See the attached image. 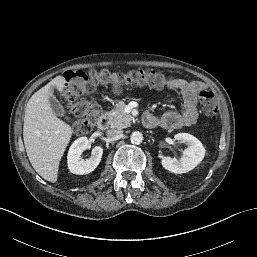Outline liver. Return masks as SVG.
<instances>
[{"label":"liver","instance_id":"1","mask_svg":"<svg viewBox=\"0 0 257 257\" xmlns=\"http://www.w3.org/2000/svg\"><path fill=\"white\" fill-rule=\"evenodd\" d=\"M65 83L63 76L55 77L31 96L25 109L23 140L27 156L35 171L52 183L57 181L60 160L73 134L49 103L53 88L63 95Z\"/></svg>","mask_w":257,"mask_h":257}]
</instances>
